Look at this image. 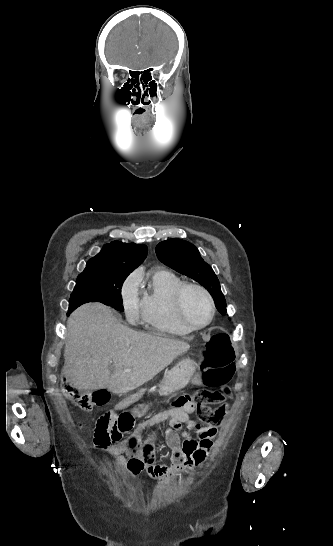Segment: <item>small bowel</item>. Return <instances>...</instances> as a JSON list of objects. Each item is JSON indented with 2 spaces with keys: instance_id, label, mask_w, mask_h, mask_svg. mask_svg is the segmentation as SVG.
I'll return each mask as SVG.
<instances>
[{
  "instance_id": "1",
  "label": "small bowel",
  "mask_w": 333,
  "mask_h": 546,
  "mask_svg": "<svg viewBox=\"0 0 333 546\" xmlns=\"http://www.w3.org/2000/svg\"><path fill=\"white\" fill-rule=\"evenodd\" d=\"M201 371H194L188 378L193 387L201 386L199 381ZM140 392H146V387H140ZM130 392L126 401L116 402L115 412H125L131 404L142 398V393ZM218 391L208 390L203 397L210 399L215 397ZM139 398V399H138ZM210 402V401H209ZM218 404L217 409H211L206 403L192 405L187 403L181 407L157 413L149 419L136 424L135 419L130 417L128 436L118 444L110 448V454L114 462L120 467H126L133 474L146 471L152 478L164 481L179 476L184 471L200 467L211 454L214 441L217 437V428L222 426L226 409H230L227 398L211 401ZM125 410V411H124ZM195 411L203 425L199 421L190 418L189 414ZM168 422L171 426L166 432V442L172 450L170 464H157L153 443L143 442L142 434L148 428ZM181 426L184 429L181 430Z\"/></svg>"
}]
</instances>
